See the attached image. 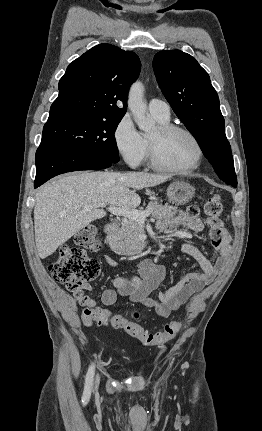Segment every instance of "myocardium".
<instances>
[{"label":"myocardium","mask_w":262,"mask_h":431,"mask_svg":"<svg viewBox=\"0 0 262 431\" xmlns=\"http://www.w3.org/2000/svg\"><path fill=\"white\" fill-rule=\"evenodd\" d=\"M175 132H180V133L186 134L193 141L195 148H196V159H195L194 164L188 169L173 168V167H169V166L164 165L159 160L155 144L153 143V141H151L148 138L147 139V147H148L149 163H150L151 167H153L154 169H156L158 171L168 173V174L187 176V175H190L193 172H195L201 166V163H202V160L204 157L203 147L201 145V142L197 138V136L191 130H189L188 128H186L184 126L167 123V124H160L157 127V133L159 136H164V135H168V134L175 133Z\"/></svg>","instance_id":"1"}]
</instances>
